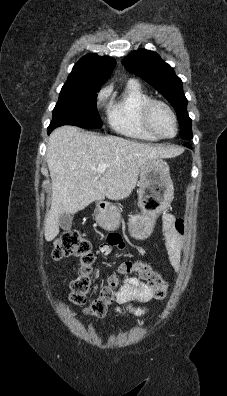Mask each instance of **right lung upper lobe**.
<instances>
[{
    "instance_id": "1",
    "label": "right lung upper lobe",
    "mask_w": 227,
    "mask_h": 396,
    "mask_svg": "<svg viewBox=\"0 0 227 396\" xmlns=\"http://www.w3.org/2000/svg\"><path fill=\"white\" fill-rule=\"evenodd\" d=\"M116 61L112 57L88 54L82 57L68 76V84L102 85L109 78Z\"/></svg>"
}]
</instances>
